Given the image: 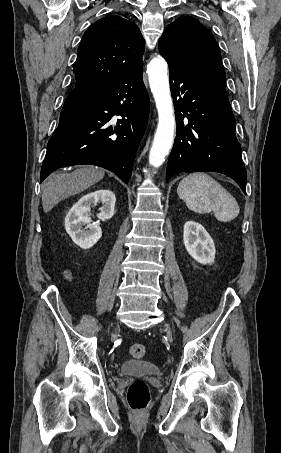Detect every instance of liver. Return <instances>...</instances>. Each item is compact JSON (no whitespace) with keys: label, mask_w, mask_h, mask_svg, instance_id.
<instances>
[{"label":"liver","mask_w":281,"mask_h":453,"mask_svg":"<svg viewBox=\"0 0 281 453\" xmlns=\"http://www.w3.org/2000/svg\"><path fill=\"white\" fill-rule=\"evenodd\" d=\"M104 174V168H95V166H81V168H76L73 172L50 174L46 178L42 190L44 212H49L63 198L83 192L92 184H96V182L102 180Z\"/></svg>","instance_id":"1"}]
</instances>
